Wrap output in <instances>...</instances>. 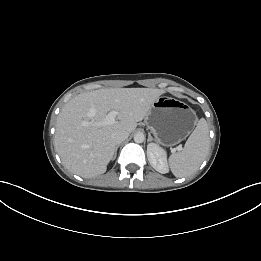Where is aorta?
I'll return each instance as SVG.
<instances>
[{"label":"aorta","mask_w":261,"mask_h":261,"mask_svg":"<svg viewBox=\"0 0 261 261\" xmlns=\"http://www.w3.org/2000/svg\"><path fill=\"white\" fill-rule=\"evenodd\" d=\"M145 140V136L143 133L139 132V133H136L135 136H134V141L136 143H142L143 141Z\"/></svg>","instance_id":"1"}]
</instances>
